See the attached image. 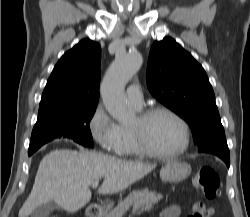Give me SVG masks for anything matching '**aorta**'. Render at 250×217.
<instances>
[{"mask_svg":"<svg viewBox=\"0 0 250 217\" xmlns=\"http://www.w3.org/2000/svg\"><path fill=\"white\" fill-rule=\"evenodd\" d=\"M141 64L142 57L137 52L119 54L101 83V96L106 110L122 124H128L133 120V115L127 109L124 90Z\"/></svg>","mask_w":250,"mask_h":217,"instance_id":"obj_1","label":"aorta"}]
</instances>
